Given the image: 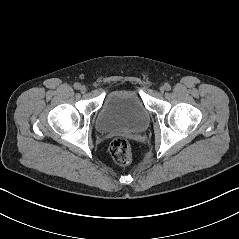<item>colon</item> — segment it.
<instances>
[{
	"label": "colon",
	"mask_w": 239,
	"mask_h": 239,
	"mask_svg": "<svg viewBox=\"0 0 239 239\" xmlns=\"http://www.w3.org/2000/svg\"><path fill=\"white\" fill-rule=\"evenodd\" d=\"M110 153L118 165H128L132 160L131 146L123 138H115L110 145Z\"/></svg>",
	"instance_id": "colon-1"
}]
</instances>
